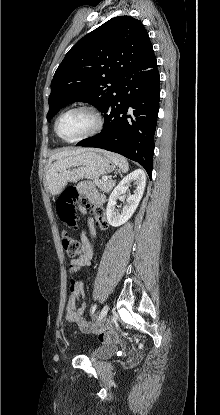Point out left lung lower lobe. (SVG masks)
Listing matches in <instances>:
<instances>
[{
  "instance_id": "0a47b994",
  "label": "left lung lower lobe",
  "mask_w": 220,
  "mask_h": 415,
  "mask_svg": "<svg viewBox=\"0 0 220 415\" xmlns=\"http://www.w3.org/2000/svg\"><path fill=\"white\" fill-rule=\"evenodd\" d=\"M159 99V72L153 55L116 81L114 93L102 110V132L77 145L119 153L141 164L151 178Z\"/></svg>"
}]
</instances>
